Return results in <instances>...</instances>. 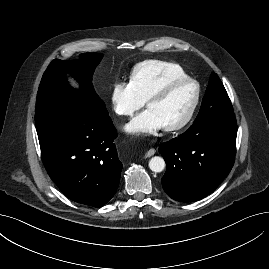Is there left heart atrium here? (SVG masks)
Instances as JSON below:
<instances>
[{
    "mask_svg": "<svg viewBox=\"0 0 269 269\" xmlns=\"http://www.w3.org/2000/svg\"><path fill=\"white\" fill-rule=\"evenodd\" d=\"M162 128L164 126L159 117L148 109L138 114L125 126L128 133L135 135H152Z\"/></svg>",
    "mask_w": 269,
    "mask_h": 269,
    "instance_id": "39dd6f15",
    "label": "left heart atrium"
}]
</instances>
